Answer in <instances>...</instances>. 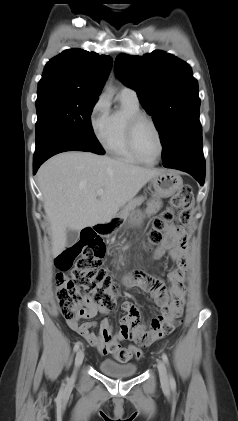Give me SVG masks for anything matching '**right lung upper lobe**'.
Here are the masks:
<instances>
[{"label": "right lung upper lobe", "instance_id": "1", "mask_svg": "<svg viewBox=\"0 0 238 421\" xmlns=\"http://www.w3.org/2000/svg\"><path fill=\"white\" fill-rule=\"evenodd\" d=\"M112 58L73 48L46 65L38 89L57 88L99 95L110 72Z\"/></svg>", "mask_w": 238, "mask_h": 421}]
</instances>
